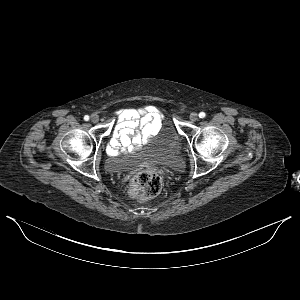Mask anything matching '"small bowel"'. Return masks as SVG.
Listing matches in <instances>:
<instances>
[{"label": "small bowel", "instance_id": "c3829d8e", "mask_svg": "<svg viewBox=\"0 0 300 300\" xmlns=\"http://www.w3.org/2000/svg\"><path fill=\"white\" fill-rule=\"evenodd\" d=\"M162 114L153 106L117 112V123L108 146L110 155L131 149L151 139L161 123Z\"/></svg>", "mask_w": 300, "mask_h": 300}]
</instances>
